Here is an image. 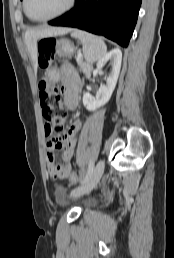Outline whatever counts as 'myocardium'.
<instances>
[{
    "label": "myocardium",
    "instance_id": "obj_1",
    "mask_svg": "<svg viewBox=\"0 0 174 258\" xmlns=\"http://www.w3.org/2000/svg\"><path fill=\"white\" fill-rule=\"evenodd\" d=\"M76 0H69L67 5L62 9L60 10L59 12L53 14V15H50V16H47V17H44V18H34L30 15L29 11H28V0H24V12L25 14L33 21H36V22H47V21H50V20H53L55 18H58L64 14H66L67 12H69L74 4H75Z\"/></svg>",
    "mask_w": 174,
    "mask_h": 258
}]
</instances>
